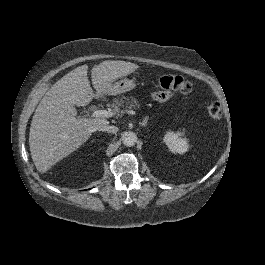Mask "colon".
I'll return each instance as SVG.
<instances>
[{
    "label": "colon",
    "mask_w": 265,
    "mask_h": 265,
    "mask_svg": "<svg viewBox=\"0 0 265 265\" xmlns=\"http://www.w3.org/2000/svg\"><path fill=\"white\" fill-rule=\"evenodd\" d=\"M158 85L165 90H173L183 94H189L192 86L186 79L175 75H161L157 79ZM222 107L219 103H212L208 107L209 117L213 120H219L222 116Z\"/></svg>",
    "instance_id": "1"
}]
</instances>
